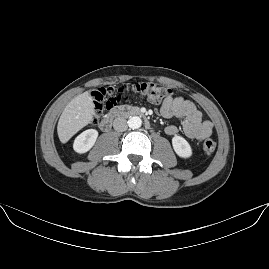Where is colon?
Here are the masks:
<instances>
[{
    "label": "colon",
    "instance_id": "1",
    "mask_svg": "<svg viewBox=\"0 0 269 269\" xmlns=\"http://www.w3.org/2000/svg\"><path fill=\"white\" fill-rule=\"evenodd\" d=\"M172 90L169 87L161 86L154 82L128 83L126 85L114 84L106 90H94L92 99L96 102L105 101L109 98H116L118 103L123 102H144L161 104L170 99ZM202 150L204 155L210 156L216 150V143L212 139L203 142Z\"/></svg>",
    "mask_w": 269,
    "mask_h": 269
}]
</instances>
